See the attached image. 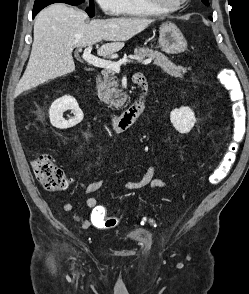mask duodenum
Wrapping results in <instances>:
<instances>
[{
	"label": "duodenum",
	"mask_w": 249,
	"mask_h": 294,
	"mask_svg": "<svg viewBox=\"0 0 249 294\" xmlns=\"http://www.w3.org/2000/svg\"><path fill=\"white\" fill-rule=\"evenodd\" d=\"M133 82L137 86V95L132 105L121 115L111 120L114 131L123 132L144 113L147 104L148 85L143 74L137 73L133 76Z\"/></svg>",
	"instance_id": "1"
}]
</instances>
